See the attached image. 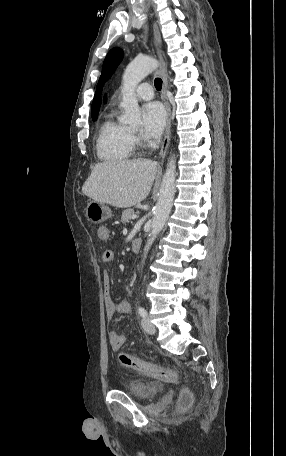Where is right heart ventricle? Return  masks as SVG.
Segmentation results:
<instances>
[{"label": "right heart ventricle", "instance_id": "e07e8e85", "mask_svg": "<svg viewBox=\"0 0 286 456\" xmlns=\"http://www.w3.org/2000/svg\"><path fill=\"white\" fill-rule=\"evenodd\" d=\"M135 150L132 132L110 114L102 123L96 141L99 159L105 162H122L130 159Z\"/></svg>", "mask_w": 286, "mask_h": 456}]
</instances>
